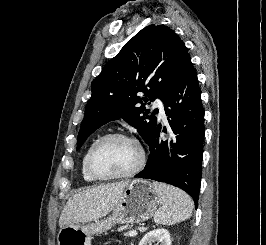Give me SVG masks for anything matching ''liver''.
Listing matches in <instances>:
<instances>
[{
	"label": "liver",
	"instance_id": "obj_1",
	"mask_svg": "<svg viewBox=\"0 0 266 245\" xmlns=\"http://www.w3.org/2000/svg\"><path fill=\"white\" fill-rule=\"evenodd\" d=\"M129 183L130 181L108 183V185H99V187H92V189L73 195L60 215V227L102 219L115 209Z\"/></svg>",
	"mask_w": 266,
	"mask_h": 245
}]
</instances>
